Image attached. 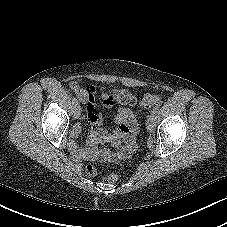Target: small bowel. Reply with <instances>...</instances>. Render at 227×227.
Wrapping results in <instances>:
<instances>
[{"instance_id": "small-bowel-1", "label": "small bowel", "mask_w": 227, "mask_h": 227, "mask_svg": "<svg viewBox=\"0 0 227 227\" xmlns=\"http://www.w3.org/2000/svg\"><path fill=\"white\" fill-rule=\"evenodd\" d=\"M75 93L86 106L82 120H88L92 129L87 147L82 148L75 141L81 132V124L74 125L69 143L72 154L78 158L90 160H120L127 158L135 148L134 136L137 130V114L127 106L119 107L115 116L116 127L112 132H109L103 128L102 117L95 112L98 97L96 88L94 86H89L86 89L76 88ZM100 99L107 108H112L118 104L114 101L112 94L108 92H102ZM134 103L135 97L131 95V102L125 105L132 106ZM105 142L112 144L117 150L114 152L107 149L99 150V145Z\"/></svg>"}]
</instances>
